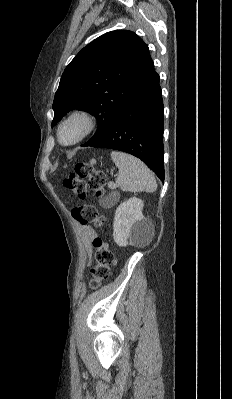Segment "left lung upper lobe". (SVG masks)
<instances>
[{
  "instance_id": "1",
  "label": "left lung upper lobe",
  "mask_w": 232,
  "mask_h": 399,
  "mask_svg": "<svg viewBox=\"0 0 232 399\" xmlns=\"http://www.w3.org/2000/svg\"><path fill=\"white\" fill-rule=\"evenodd\" d=\"M150 56L134 32H107L84 47L66 67L55 93L54 127L74 108L97 118L98 129L82 146H90L110 129L132 94Z\"/></svg>"
}]
</instances>
